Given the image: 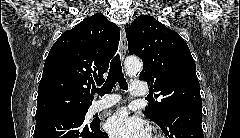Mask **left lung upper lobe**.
I'll return each instance as SVG.
<instances>
[{"label": "left lung upper lobe", "instance_id": "1", "mask_svg": "<svg viewBox=\"0 0 240 138\" xmlns=\"http://www.w3.org/2000/svg\"><path fill=\"white\" fill-rule=\"evenodd\" d=\"M128 50L143 61L140 79L151 85L161 102L145 108V115L156 124L169 112L187 104H201L196 65L187 43L175 31L152 16L140 15L126 29Z\"/></svg>", "mask_w": 240, "mask_h": 138}]
</instances>
